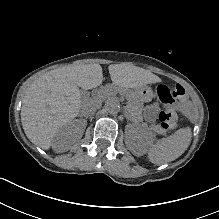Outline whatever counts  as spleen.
Returning a JSON list of instances; mask_svg holds the SVG:
<instances>
[{"label":"spleen","mask_w":219,"mask_h":219,"mask_svg":"<svg viewBox=\"0 0 219 219\" xmlns=\"http://www.w3.org/2000/svg\"><path fill=\"white\" fill-rule=\"evenodd\" d=\"M190 129H182L172 137L163 139L155 146L149 148L150 158L156 164L166 163L175 160L188 148L191 141Z\"/></svg>","instance_id":"3e777b00"}]
</instances>
